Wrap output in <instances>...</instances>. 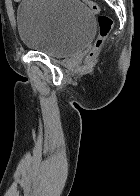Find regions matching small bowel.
<instances>
[{
  "mask_svg": "<svg viewBox=\"0 0 140 196\" xmlns=\"http://www.w3.org/2000/svg\"><path fill=\"white\" fill-rule=\"evenodd\" d=\"M14 1H16V2H20L21 0H14Z\"/></svg>",
  "mask_w": 140,
  "mask_h": 196,
  "instance_id": "1",
  "label": "small bowel"
}]
</instances>
